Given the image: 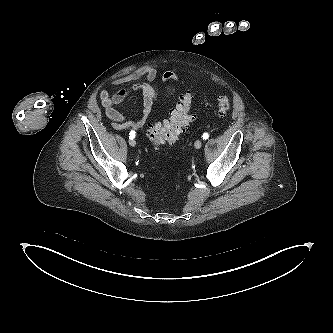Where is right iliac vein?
Segmentation results:
<instances>
[{
    "label": "right iliac vein",
    "instance_id": "1",
    "mask_svg": "<svg viewBox=\"0 0 333 333\" xmlns=\"http://www.w3.org/2000/svg\"><path fill=\"white\" fill-rule=\"evenodd\" d=\"M129 145L134 147L136 145V142L134 139H129Z\"/></svg>",
    "mask_w": 333,
    "mask_h": 333
}]
</instances>
